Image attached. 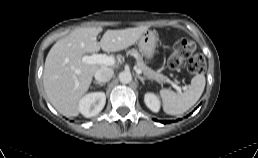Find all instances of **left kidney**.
Segmentation results:
<instances>
[{
	"mask_svg": "<svg viewBox=\"0 0 258 158\" xmlns=\"http://www.w3.org/2000/svg\"><path fill=\"white\" fill-rule=\"evenodd\" d=\"M144 102L151 111L156 113L160 110V100L155 94L146 93L144 96Z\"/></svg>",
	"mask_w": 258,
	"mask_h": 158,
	"instance_id": "left-kidney-1",
	"label": "left kidney"
}]
</instances>
